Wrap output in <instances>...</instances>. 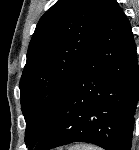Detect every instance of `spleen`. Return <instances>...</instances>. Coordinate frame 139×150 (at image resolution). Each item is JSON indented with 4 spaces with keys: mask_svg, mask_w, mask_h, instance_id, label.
I'll return each mask as SVG.
<instances>
[{
    "mask_svg": "<svg viewBox=\"0 0 139 150\" xmlns=\"http://www.w3.org/2000/svg\"><path fill=\"white\" fill-rule=\"evenodd\" d=\"M71 150H102V149L96 146L78 145V146L71 148Z\"/></svg>",
    "mask_w": 139,
    "mask_h": 150,
    "instance_id": "obj_1",
    "label": "spleen"
}]
</instances>
